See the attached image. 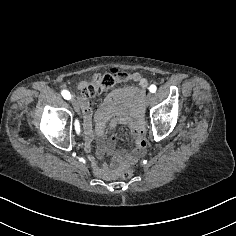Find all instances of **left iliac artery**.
Returning <instances> with one entry per match:
<instances>
[{"label": "left iliac artery", "mask_w": 236, "mask_h": 236, "mask_svg": "<svg viewBox=\"0 0 236 236\" xmlns=\"http://www.w3.org/2000/svg\"><path fill=\"white\" fill-rule=\"evenodd\" d=\"M156 89H157L156 86L153 85V84L149 87V90H150L151 93H155Z\"/></svg>", "instance_id": "1"}]
</instances>
